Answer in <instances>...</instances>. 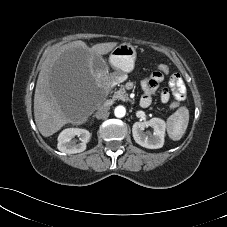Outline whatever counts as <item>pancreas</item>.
Instances as JSON below:
<instances>
[{"label": "pancreas", "instance_id": "1", "mask_svg": "<svg viewBox=\"0 0 227 227\" xmlns=\"http://www.w3.org/2000/svg\"><path fill=\"white\" fill-rule=\"evenodd\" d=\"M122 100V101H126L128 100L127 94H126V90H125V86L121 85V87L119 88L118 91L115 92L114 96H113V100Z\"/></svg>", "mask_w": 227, "mask_h": 227}]
</instances>
